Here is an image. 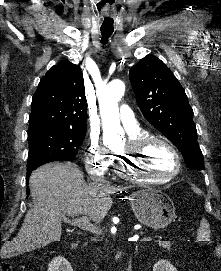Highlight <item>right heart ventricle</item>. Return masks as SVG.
I'll list each match as a JSON object with an SVG mask.
<instances>
[{
	"mask_svg": "<svg viewBox=\"0 0 221 271\" xmlns=\"http://www.w3.org/2000/svg\"><path fill=\"white\" fill-rule=\"evenodd\" d=\"M146 133H135L130 136L128 144H136V141ZM184 171V170H182ZM142 183H171V178H142Z\"/></svg>",
	"mask_w": 221,
	"mask_h": 271,
	"instance_id": "right-heart-ventricle-1",
	"label": "right heart ventricle"
}]
</instances>
